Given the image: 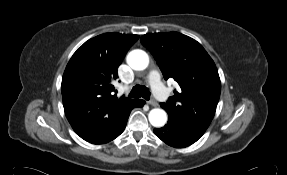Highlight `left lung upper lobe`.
Returning a JSON list of instances; mask_svg holds the SVG:
<instances>
[{"instance_id":"1","label":"left lung upper lobe","mask_w":287,"mask_h":175,"mask_svg":"<svg viewBox=\"0 0 287 175\" xmlns=\"http://www.w3.org/2000/svg\"><path fill=\"white\" fill-rule=\"evenodd\" d=\"M140 41L164 78H173L180 86L161 103L168 119L201 137L214 117L221 92L213 60L200 43L177 32L145 34Z\"/></svg>"}]
</instances>
